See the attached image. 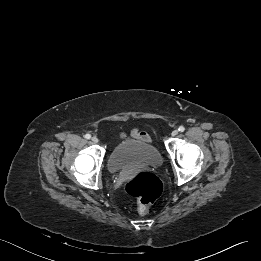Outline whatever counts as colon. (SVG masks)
<instances>
[{
    "label": "colon",
    "mask_w": 261,
    "mask_h": 261,
    "mask_svg": "<svg viewBox=\"0 0 261 261\" xmlns=\"http://www.w3.org/2000/svg\"><path fill=\"white\" fill-rule=\"evenodd\" d=\"M124 190L137 198L138 212L141 216H145L150 205L161 195L163 185L154 174L139 172L126 181Z\"/></svg>",
    "instance_id": "colon-1"
}]
</instances>
